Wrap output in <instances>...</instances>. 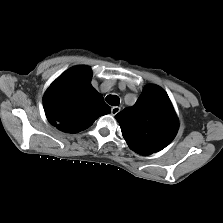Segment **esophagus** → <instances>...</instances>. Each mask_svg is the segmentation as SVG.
Listing matches in <instances>:
<instances>
[{"label":"esophagus","mask_w":223,"mask_h":223,"mask_svg":"<svg viewBox=\"0 0 223 223\" xmlns=\"http://www.w3.org/2000/svg\"><path fill=\"white\" fill-rule=\"evenodd\" d=\"M121 108L119 106H114L111 108V114L116 115L120 112Z\"/></svg>","instance_id":"1"}]
</instances>
